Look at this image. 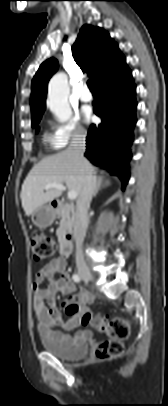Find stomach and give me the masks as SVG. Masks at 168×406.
I'll return each mask as SVG.
<instances>
[{
  "label": "stomach",
  "instance_id": "obj_1",
  "mask_svg": "<svg viewBox=\"0 0 168 406\" xmlns=\"http://www.w3.org/2000/svg\"><path fill=\"white\" fill-rule=\"evenodd\" d=\"M56 218V211L49 205L38 207L32 214L31 220L40 228L50 226Z\"/></svg>",
  "mask_w": 168,
  "mask_h": 406
}]
</instances>
